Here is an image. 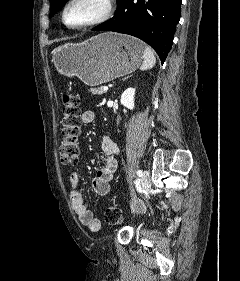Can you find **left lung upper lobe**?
I'll use <instances>...</instances> for the list:
<instances>
[{"mask_svg": "<svg viewBox=\"0 0 240 281\" xmlns=\"http://www.w3.org/2000/svg\"><path fill=\"white\" fill-rule=\"evenodd\" d=\"M67 1L68 0H50V17L57 13Z\"/></svg>", "mask_w": 240, "mask_h": 281, "instance_id": "left-lung-upper-lobe-1", "label": "left lung upper lobe"}]
</instances>
